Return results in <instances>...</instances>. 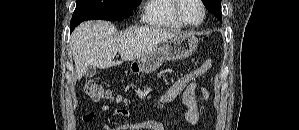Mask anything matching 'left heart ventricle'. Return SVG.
Wrapping results in <instances>:
<instances>
[{"mask_svg": "<svg viewBox=\"0 0 299 130\" xmlns=\"http://www.w3.org/2000/svg\"><path fill=\"white\" fill-rule=\"evenodd\" d=\"M181 13L191 23H197L202 17V10L196 0H183Z\"/></svg>", "mask_w": 299, "mask_h": 130, "instance_id": "b2bd125f", "label": "left heart ventricle"}]
</instances>
